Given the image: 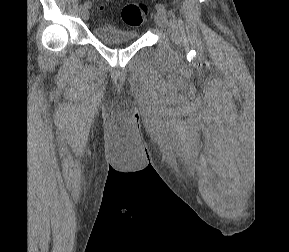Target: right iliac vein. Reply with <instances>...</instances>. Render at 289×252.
Returning a JSON list of instances; mask_svg holds the SVG:
<instances>
[{
    "instance_id": "1",
    "label": "right iliac vein",
    "mask_w": 289,
    "mask_h": 252,
    "mask_svg": "<svg viewBox=\"0 0 289 252\" xmlns=\"http://www.w3.org/2000/svg\"><path fill=\"white\" fill-rule=\"evenodd\" d=\"M80 16L82 17L83 20H87L89 18V10L88 8L84 6H80Z\"/></svg>"
}]
</instances>
